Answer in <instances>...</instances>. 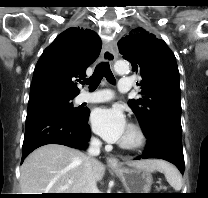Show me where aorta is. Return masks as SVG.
<instances>
[{"mask_svg": "<svg viewBox=\"0 0 208 198\" xmlns=\"http://www.w3.org/2000/svg\"><path fill=\"white\" fill-rule=\"evenodd\" d=\"M114 69L117 74L123 75L129 71V64L126 61L119 60L115 63Z\"/></svg>", "mask_w": 208, "mask_h": 198, "instance_id": "762f6f07", "label": "aorta"}]
</instances>
